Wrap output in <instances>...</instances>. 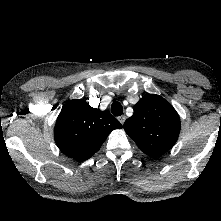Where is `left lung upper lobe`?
<instances>
[{
	"label": "left lung upper lobe",
	"instance_id": "obj_1",
	"mask_svg": "<svg viewBox=\"0 0 221 221\" xmlns=\"http://www.w3.org/2000/svg\"><path fill=\"white\" fill-rule=\"evenodd\" d=\"M124 130L145 154L159 156L178 139L180 118L164 98L150 94L135 104L134 114L125 121Z\"/></svg>",
	"mask_w": 221,
	"mask_h": 221
}]
</instances>
